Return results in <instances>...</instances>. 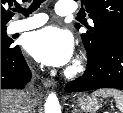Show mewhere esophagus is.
Returning a JSON list of instances; mask_svg holds the SVG:
<instances>
[{"instance_id": "esophagus-1", "label": "esophagus", "mask_w": 123, "mask_h": 113, "mask_svg": "<svg viewBox=\"0 0 123 113\" xmlns=\"http://www.w3.org/2000/svg\"><path fill=\"white\" fill-rule=\"evenodd\" d=\"M43 84L45 87H54L56 86V82L53 79L46 78L43 80Z\"/></svg>"}]
</instances>
